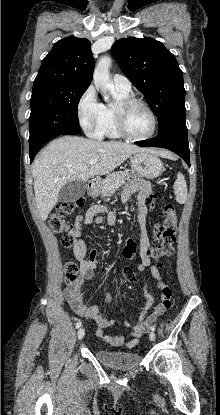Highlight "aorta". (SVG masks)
<instances>
[{
  "label": "aorta",
  "instance_id": "762f6f07",
  "mask_svg": "<svg viewBox=\"0 0 220 415\" xmlns=\"http://www.w3.org/2000/svg\"><path fill=\"white\" fill-rule=\"evenodd\" d=\"M110 66L111 59L108 56L102 57L94 69L93 81L96 88H100L105 101H109L108 92L113 87V83L110 80Z\"/></svg>",
  "mask_w": 220,
  "mask_h": 415
}]
</instances>
